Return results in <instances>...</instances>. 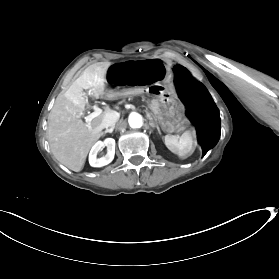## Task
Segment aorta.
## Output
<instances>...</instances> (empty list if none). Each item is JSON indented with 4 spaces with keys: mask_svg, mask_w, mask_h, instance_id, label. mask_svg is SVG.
<instances>
[{
    "mask_svg": "<svg viewBox=\"0 0 279 279\" xmlns=\"http://www.w3.org/2000/svg\"><path fill=\"white\" fill-rule=\"evenodd\" d=\"M131 128H140L143 124L142 116L138 113H133L128 119Z\"/></svg>",
    "mask_w": 279,
    "mask_h": 279,
    "instance_id": "obj_1",
    "label": "aorta"
}]
</instances>
